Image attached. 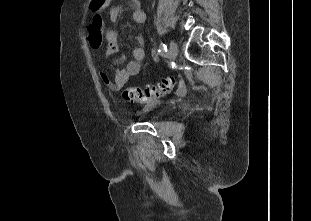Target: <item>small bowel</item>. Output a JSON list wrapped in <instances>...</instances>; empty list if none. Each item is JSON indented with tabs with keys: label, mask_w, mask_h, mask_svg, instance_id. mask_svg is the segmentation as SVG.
<instances>
[{
	"label": "small bowel",
	"mask_w": 311,
	"mask_h": 221,
	"mask_svg": "<svg viewBox=\"0 0 311 221\" xmlns=\"http://www.w3.org/2000/svg\"><path fill=\"white\" fill-rule=\"evenodd\" d=\"M133 4L135 9L132 13V19L136 23H144L146 21L145 12L139 7L138 0H133ZM101 10V8H100ZM122 8L120 6H114L109 9V17L112 22L117 21L121 14ZM106 50L105 56L106 58H110L114 55L119 46V37L118 33L114 29H110L106 32ZM136 46L132 51L133 60L128 61L124 68L116 69L114 73V78L111 80L107 74L102 73L101 78L103 82L109 86L113 91L119 90L128 80L138 74L142 68V61L146 57V48L144 37L141 35H137L135 37ZM125 61V56L117 59V63H122Z\"/></svg>",
	"instance_id": "c3829d8e"
}]
</instances>
